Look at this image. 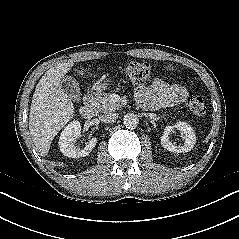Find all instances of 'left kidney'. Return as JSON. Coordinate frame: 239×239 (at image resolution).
<instances>
[{"label": "left kidney", "mask_w": 239, "mask_h": 239, "mask_svg": "<svg viewBox=\"0 0 239 239\" xmlns=\"http://www.w3.org/2000/svg\"><path fill=\"white\" fill-rule=\"evenodd\" d=\"M174 129H177L182 134V138L184 140L182 145H176L170 141L169 135L174 131ZM195 142V133L191 126L185 122H177L174 126H166L161 137V145L168 151L174 153L191 151Z\"/></svg>", "instance_id": "obj_1"}]
</instances>
